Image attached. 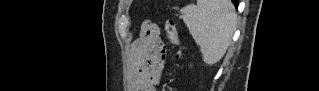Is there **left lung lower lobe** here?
Masks as SVG:
<instances>
[{
  "instance_id": "0a47b994",
  "label": "left lung lower lobe",
  "mask_w": 319,
  "mask_h": 91,
  "mask_svg": "<svg viewBox=\"0 0 319 91\" xmlns=\"http://www.w3.org/2000/svg\"><path fill=\"white\" fill-rule=\"evenodd\" d=\"M231 1L234 3L235 7L237 8L238 7V0H231Z\"/></svg>"
}]
</instances>
